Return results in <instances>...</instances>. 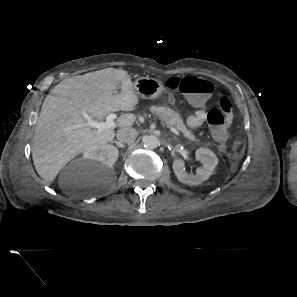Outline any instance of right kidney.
<instances>
[{
  "mask_svg": "<svg viewBox=\"0 0 297 297\" xmlns=\"http://www.w3.org/2000/svg\"><path fill=\"white\" fill-rule=\"evenodd\" d=\"M118 155L119 151L116 147L109 144H103L87 148L83 153V158L98 163L99 165L113 167Z\"/></svg>",
  "mask_w": 297,
  "mask_h": 297,
  "instance_id": "right-kidney-1",
  "label": "right kidney"
}]
</instances>
